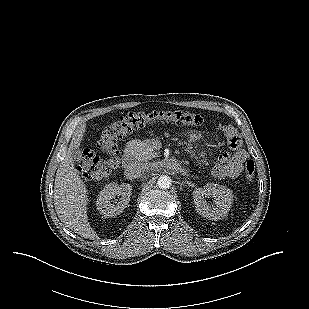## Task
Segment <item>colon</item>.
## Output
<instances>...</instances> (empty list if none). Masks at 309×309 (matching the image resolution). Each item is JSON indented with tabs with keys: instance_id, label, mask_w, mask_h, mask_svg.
Wrapping results in <instances>:
<instances>
[{
	"instance_id": "5ec220e1",
	"label": "colon",
	"mask_w": 309,
	"mask_h": 309,
	"mask_svg": "<svg viewBox=\"0 0 309 309\" xmlns=\"http://www.w3.org/2000/svg\"><path fill=\"white\" fill-rule=\"evenodd\" d=\"M157 121H167L187 126H199L202 124L201 116L189 111H160L148 114L128 113L108 125L100 136L98 144L101 150L106 153L107 158L102 160L94 151L85 148L81 151L79 171L84 176L92 179L108 178L119 163L117 142L129 132ZM232 142L237 144L239 141L235 138ZM254 176V161L248 159L245 164V179L251 182Z\"/></svg>"
}]
</instances>
